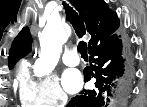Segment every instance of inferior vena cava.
I'll list each match as a JSON object with an SVG mask.
<instances>
[{
    "instance_id": "inferior-vena-cava-1",
    "label": "inferior vena cava",
    "mask_w": 147,
    "mask_h": 107,
    "mask_svg": "<svg viewBox=\"0 0 147 107\" xmlns=\"http://www.w3.org/2000/svg\"><path fill=\"white\" fill-rule=\"evenodd\" d=\"M63 99H64V101H67V97L66 96H64Z\"/></svg>"
}]
</instances>
